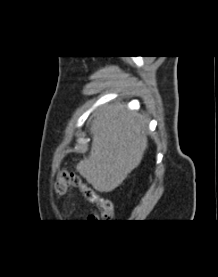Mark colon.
<instances>
[{
    "label": "colon",
    "instance_id": "1",
    "mask_svg": "<svg viewBox=\"0 0 218 277\" xmlns=\"http://www.w3.org/2000/svg\"><path fill=\"white\" fill-rule=\"evenodd\" d=\"M69 186L78 187L85 198L97 207L96 212L88 217L91 222L96 219H110L113 217V206L110 200L102 198L93 189L82 183L77 176L63 170L56 178L55 193L63 195Z\"/></svg>",
    "mask_w": 218,
    "mask_h": 277
}]
</instances>
